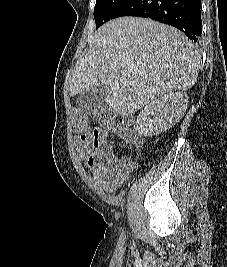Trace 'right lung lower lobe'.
<instances>
[{"label":"right lung lower lobe","mask_w":227,"mask_h":267,"mask_svg":"<svg viewBox=\"0 0 227 267\" xmlns=\"http://www.w3.org/2000/svg\"><path fill=\"white\" fill-rule=\"evenodd\" d=\"M201 0H128L114 15L150 18L185 32L193 42L202 33Z\"/></svg>","instance_id":"obj_1"}]
</instances>
